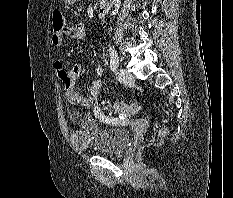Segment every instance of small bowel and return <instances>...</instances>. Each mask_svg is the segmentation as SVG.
Masks as SVG:
<instances>
[{
	"instance_id": "c3829d8e",
	"label": "small bowel",
	"mask_w": 233,
	"mask_h": 198,
	"mask_svg": "<svg viewBox=\"0 0 233 198\" xmlns=\"http://www.w3.org/2000/svg\"><path fill=\"white\" fill-rule=\"evenodd\" d=\"M86 29L83 23H76L71 26H65L60 32H53L51 42L54 46H61L66 35L72 36L74 39L81 40L85 37ZM54 69L58 78L63 83L64 97L66 101L73 105L86 107H95V116L103 121H107V117L96 106L99 93L102 88L103 68L98 66L95 70L97 79L92 81L87 87V95L81 94L76 87V82L81 73V66L74 63L70 68H65L61 59L54 62Z\"/></svg>"
}]
</instances>
